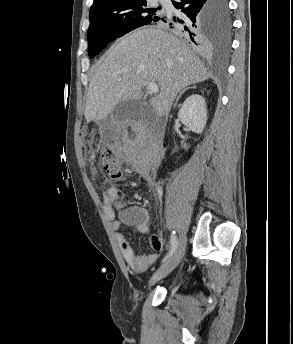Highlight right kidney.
Here are the masks:
<instances>
[{
    "mask_svg": "<svg viewBox=\"0 0 293 344\" xmlns=\"http://www.w3.org/2000/svg\"><path fill=\"white\" fill-rule=\"evenodd\" d=\"M178 119L191 131L200 134L207 121V109L204 97L198 94L189 96L182 104ZM188 146L184 144L186 149Z\"/></svg>",
    "mask_w": 293,
    "mask_h": 344,
    "instance_id": "1",
    "label": "right kidney"
}]
</instances>
